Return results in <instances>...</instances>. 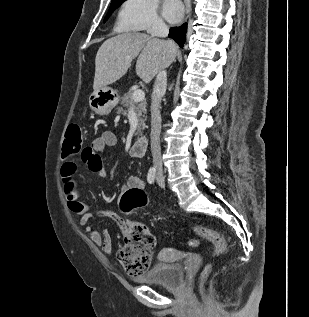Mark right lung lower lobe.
I'll return each instance as SVG.
<instances>
[{"instance_id": "right-lung-lower-lobe-1", "label": "right lung lower lobe", "mask_w": 309, "mask_h": 317, "mask_svg": "<svg viewBox=\"0 0 309 317\" xmlns=\"http://www.w3.org/2000/svg\"><path fill=\"white\" fill-rule=\"evenodd\" d=\"M187 32V23L180 27H172L169 32V37L174 39L182 48L185 43V37Z\"/></svg>"}]
</instances>
